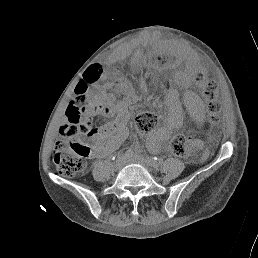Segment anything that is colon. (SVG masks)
Returning <instances> with one entry per match:
<instances>
[{
	"label": "colon",
	"mask_w": 258,
	"mask_h": 258,
	"mask_svg": "<svg viewBox=\"0 0 258 258\" xmlns=\"http://www.w3.org/2000/svg\"><path fill=\"white\" fill-rule=\"evenodd\" d=\"M103 74L99 64L91 65L83 79L76 87L75 98L65 113V124L60 127V140L53 150V160L58 172L65 177H73L86 167V159L101 142L100 130L91 129L85 122L81 106L87 101V90L97 83ZM206 117L210 123L217 120L219 103L217 101V85L207 80L204 85ZM157 125V117L153 113H141L136 117V129L140 134L151 132ZM171 153L181 157L193 156L197 152L194 138L177 135L169 143Z\"/></svg>",
	"instance_id": "1"
}]
</instances>
